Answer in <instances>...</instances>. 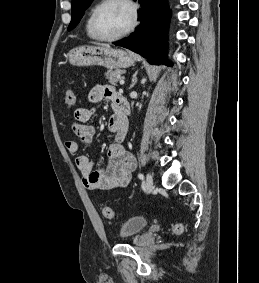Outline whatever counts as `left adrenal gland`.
Returning a JSON list of instances; mask_svg holds the SVG:
<instances>
[{"mask_svg":"<svg viewBox=\"0 0 259 283\" xmlns=\"http://www.w3.org/2000/svg\"><path fill=\"white\" fill-rule=\"evenodd\" d=\"M136 83H137V76H136V74H135V75L133 76L132 84L130 85L129 89L133 88Z\"/></svg>","mask_w":259,"mask_h":283,"instance_id":"obj_1","label":"left adrenal gland"}]
</instances>
